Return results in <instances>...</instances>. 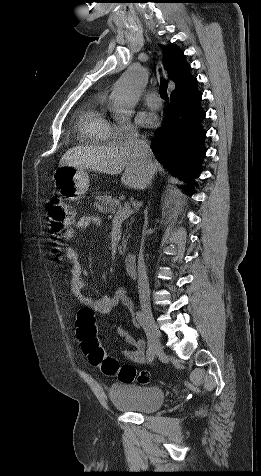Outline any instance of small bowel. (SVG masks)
Returning <instances> with one entry per match:
<instances>
[{"label":"small bowel","instance_id":"1","mask_svg":"<svg viewBox=\"0 0 261 476\" xmlns=\"http://www.w3.org/2000/svg\"><path fill=\"white\" fill-rule=\"evenodd\" d=\"M101 224V219L97 215H83L79 218L77 223L65 232L66 239H72L77 232L90 227H98ZM65 257L70 260V278L69 285L73 295L85 307L91 308L100 317H105L117 305L121 304L129 311H133L134 304L127 296L124 289H118L113 295H100L98 290L83 277V270L79 263L77 252L69 245L63 246ZM85 288L91 289L93 294H85ZM134 325H137L134 323ZM118 336L128 345L132 346V350H124L121 352L122 356L136 363H141L145 358L146 345L141 339H136L129 334V332L119 327L117 329Z\"/></svg>","mask_w":261,"mask_h":476}]
</instances>
